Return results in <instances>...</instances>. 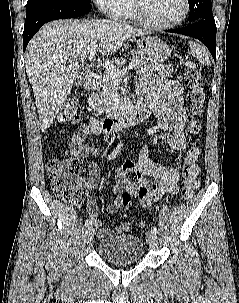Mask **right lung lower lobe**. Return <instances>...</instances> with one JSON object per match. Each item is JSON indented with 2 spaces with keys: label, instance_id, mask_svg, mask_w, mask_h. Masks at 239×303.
<instances>
[{
  "label": "right lung lower lobe",
  "instance_id": "obj_1",
  "mask_svg": "<svg viewBox=\"0 0 239 303\" xmlns=\"http://www.w3.org/2000/svg\"><path fill=\"white\" fill-rule=\"evenodd\" d=\"M91 10L87 3L78 4H41L26 10V22L23 32L24 51L29 40L40 29V27L52 20L73 18L84 15Z\"/></svg>",
  "mask_w": 239,
  "mask_h": 303
}]
</instances>
